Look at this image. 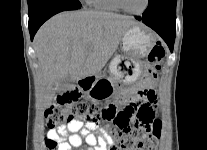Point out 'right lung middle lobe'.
<instances>
[{
  "instance_id": "obj_1",
  "label": "right lung middle lobe",
  "mask_w": 207,
  "mask_h": 150,
  "mask_svg": "<svg viewBox=\"0 0 207 150\" xmlns=\"http://www.w3.org/2000/svg\"><path fill=\"white\" fill-rule=\"evenodd\" d=\"M54 1L67 2L82 7L79 0H28L27 2H28L29 12L40 8L46 3L54 2Z\"/></svg>"
}]
</instances>
